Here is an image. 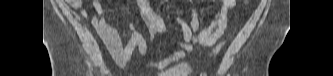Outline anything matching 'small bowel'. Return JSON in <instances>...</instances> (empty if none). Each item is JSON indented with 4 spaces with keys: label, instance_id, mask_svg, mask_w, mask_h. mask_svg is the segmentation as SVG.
I'll return each mask as SVG.
<instances>
[{
    "label": "small bowel",
    "instance_id": "c3829d8e",
    "mask_svg": "<svg viewBox=\"0 0 333 76\" xmlns=\"http://www.w3.org/2000/svg\"><path fill=\"white\" fill-rule=\"evenodd\" d=\"M64 2L68 10L76 11L82 8L81 0H66ZM136 2L141 9V17L149 34L154 35L165 31L163 21L154 13L149 1L137 0ZM235 5V0H221L212 20L202 30H199L200 24L195 9L191 10L189 23L180 17H176L175 22L181 27L183 39L173 42L174 49L170 55L161 60L150 61L147 66L156 70L159 76H188L191 72L190 66L181 62V60L185 58L186 53L192 52L195 47H210L217 43L227 27V14ZM92 6L94 13L91 24L97 30L105 47L118 66L125 67L135 49H138L141 56L146 54V40L142 33L137 30L135 24H129L131 38L126 45H123L118 30L108 22L101 2L94 0ZM89 13L90 11L85 8L80 11L83 18H86Z\"/></svg>",
    "mask_w": 333,
    "mask_h": 76
}]
</instances>
